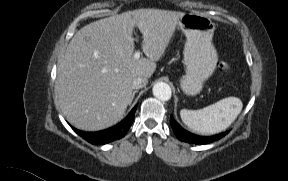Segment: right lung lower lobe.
Listing matches in <instances>:
<instances>
[{
  "mask_svg": "<svg viewBox=\"0 0 288 181\" xmlns=\"http://www.w3.org/2000/svg\"><path fill=\"white\" fill-rule=\"evenodd\" d=\"M136 111V107L132 109V111L129 113V115L119 124H117L114 127H111L109 129L98 131V132H84L77 130L75 128L74 131L81 136L83 139L88 141L89 143L96 145H104L109 142L121 139L124 137L131 127L133 121H134V114Z\"/></svg>",
  "mask_w": 288,
  "mask_h": 181,
  "instance_id": "1",
  "label": "right lung lower lobe"
}]
</instances>
